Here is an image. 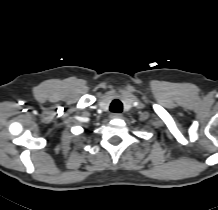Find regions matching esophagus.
<instances>
[{
  "mask_svg": "<svg viewBox=\"0 0 218 210\" xmlns=\"http://www.w3.org/2000/svg\"><path fill=\"white\" fill-rule=\"evenodd\" d=\"M122 117V114L120 113H112L111 114V118H121Z\"/></svg>",
  "mask_w": 218,
  "mask_h": 210,
  "instance_id": "obj_1",
  "label": "esophagus"
}]
</instances>
